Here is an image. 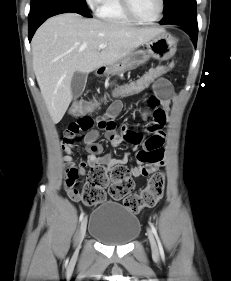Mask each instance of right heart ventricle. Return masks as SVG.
Segmentation results:
<instances>
[{"label": "right heart ventricle", "mask_w": 231, "mask_h": 281, "mask_svg": "<svg viewBox=\"0 0 231 281\" xmlns=\"http://www.w3.org/2000/svg\"><path fill=\"white\" fill-rule=\"evenodd\" d=\"M101 19L113 23H131L132 20L122 9L120 0H104L98 10Z\"/></svg>", "instance_id": "right-heart-ventricle-1"}]
</instances>
